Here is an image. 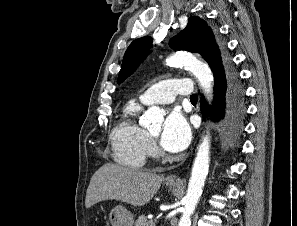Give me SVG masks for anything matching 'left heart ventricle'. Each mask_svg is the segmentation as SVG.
<instances>
[{"mask_svg": "<svg viewBox=\"0 0 297 226\" xmlns=\"http://www.w3.org/2000/svg\"><path fill=\"white\" fill-rule=\"evenodd\" d=\"M159 131L152 132L153 135H158Z\"/></svg>", "mask_w": 297, "mask_h": 226, "instance_id": "obj_1", "label": "left heart ventricle"}]
</instances>
